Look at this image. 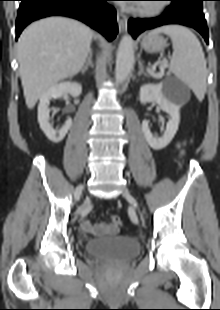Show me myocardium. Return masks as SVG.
I'll use <instances>...</instances> for the list:
<instances>
[{
  "mask_svg": "<svg viewBox=\"0 0 220 310\" xmlns=\"http://www.w3.org/2000/svg\"><path fill=\"white\" fill-rule=\"evenodd\" d=\"M164 5L162 4H148L143 5L137 9L139 14L143 15H155L163 11Z\"/></svg>",
  "mask_w": 220,
  "mask_h": 310,
  "instance_id": "obj_1",
  "label": "myocardium"
}]
</instances>
